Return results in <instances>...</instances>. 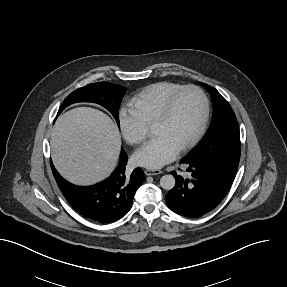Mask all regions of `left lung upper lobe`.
I'll list each match as a JSON object with an SVG mask.
<instances>
[{
  "label": "left lung upper lobe",
  "mask_w": 287,
  "mask_h": 287,
  "mask_svg": "<svg viewBox=\"0 0 287 287\" xmlns=\"http://www.w3.org/2000/svg\"><path fill=\"white\" fill-rule=\"evenodd\" d=\"M202 85L211 95L212 125L202 142L183 159L223 160L239 163L240 133L234 111L215 88L205 83Z\"/></svg>",
  "instance_id": "left-lung-upper-lobe-1"
}]
</instances>
